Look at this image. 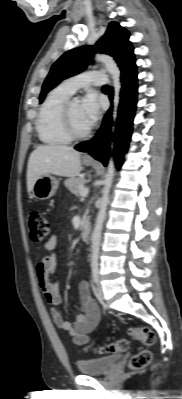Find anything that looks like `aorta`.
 <instances>
[{"label":"aorta","instance_id":"obj_1","mask_svg":"<svg viewBox=\"0 0 182 399\" xmlns=\"http://www.w3.org/2000/svg\"><path fill=\"white\" fill-rule=\"evenodd\" d=\"M95 60L99 63H102L108 73L111 75L112 82H113V88H114V98H113V126H112V132L114 133L115 131V121L117 119V114H118V106L120 102V90H121V82H120V70L114 61V59L106 54H96ZM74 103H78L79 100L78 98L73 99ZM114 143L113 141L111 142V150H113ZM115 173V168H114V161L113 158L111 157L109 159L108 167H107V173L106 177L104 180V188L102 189V198L100 202V207H99V212L96 217L95 221V226L94 230L92 232V245H91V265L92 266H97L98 265V256H99V250H100V240H101V233H102V227L103 223L105 220L106 216V210H107V205L109 202V193H110V188L113 182V177Z\"/></svg>","mask_w":182,"mask_h":399}]
</instances>
